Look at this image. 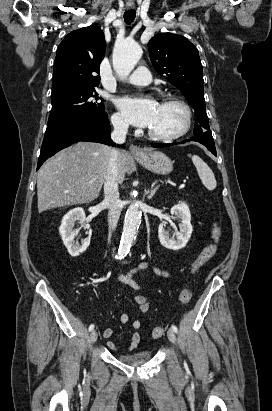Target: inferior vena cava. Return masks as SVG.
<instances>
[{
	"instance_id": "obj_1",
	"label": "inferior vena cava",
	"mask_w": 272,
	"mask_h": 411,
	"mask_svg": "<svg viewBox=\"0 0 272 411\" xmlns=\"http://www.w3.org/2000/svg\"><path fill=\"white\" fill-rule=\"evenodd\" d=\"M111 122L113 125V131L111 133L112 140L117 144L125 142L126 134L128 132L129 125L119 117H112ZM118 157L119 152L117 149H111V155L107 167V173L104 181V204L108 207V226L109 232L115 230L117 227L118 219L121 213L122 204L119 199L118 191Z\"/></svg>"
}]
</instances>
